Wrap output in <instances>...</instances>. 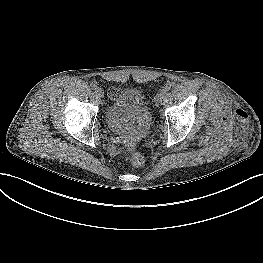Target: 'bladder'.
Wrapping results in <instances>:
<instances>
[{"instance_id":"obj_1","label":"bladder","mask_w":263,"mask_h":263,"mask_svg":"<svg viewBox=\"0 0 263 263\" xmlns=\"http://www.w3.org/2000/svg\"><path fill=\"white\" fill-rule=\"evenodd\" d=\"M152 113L143 93L128 89L107 105L104 122L116 136H147L152 126Z\"/></svg>"}]
</instances>
